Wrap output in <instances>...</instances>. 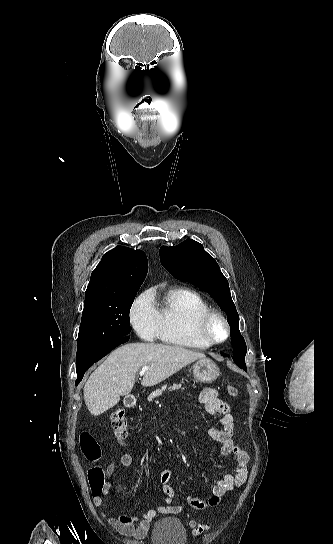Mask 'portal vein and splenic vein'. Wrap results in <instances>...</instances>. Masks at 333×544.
<instances>
[{
	"label": "portal vein and splenic vein",
	"mask_w": 333,
	"mask_h": 544,
	"mask_svg": "<svg viewBox=\"0 0 333 544\" xmlns=\"http://www.w3.org/2000/svg\"><path fill=\"white\" fill-rule=\"evenodd\" d=\"M147 371V368H142L139 372V375L140 376H143L145 374V372Z\"/></svg>",
	"instance_id": "18ae733b"
}]
</instances>
